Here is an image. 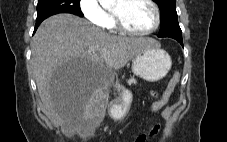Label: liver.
Returning <instances> with one entry per match:
<instances>
[{
	"label": "liver",
	"mask_w": 227,
	"mask_h": 142,
	"mask_svg": "<svg viewBox=\"0 0 227 142\" xmlns=\"http://www.w3.org/2000/svg\"><path fill=\"white\" fill-rule=\"evenodd\" d=\"M152 45L159 43L152 38L109 34L72 14L47 18L31 41V67L47 113L65 132H83L93 124L91 110L102 86L95 75L88 78L85 88H54L50 76L59 61H92L87 66L89 73H94L95 63L100 61L117 70Z\"/></svg>",
	"instance_id": "6515ba94"
}]
</instances>
